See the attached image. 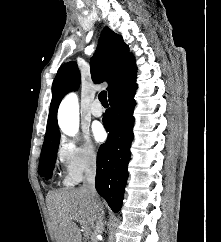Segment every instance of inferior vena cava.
<instances>
[{"label":"inferior vena cava","instance_id":"obj_1","mask_svg":"<svg viewBox=\"0 0 221 242\" xmlns=\"http://www.w3.org/2000/svg\"><path fill=\"white\" fill-rule=\"evenodd\" d=\"M95 175H96V164L93 161L85 169L82 189L87 193V195L90 197V199L92 200V202L97 208L95 233H102L104 210L102 205L99 203V197L95 189Z\"/></svg>","mask_w":221,"mask_h":242}]
</instances>
